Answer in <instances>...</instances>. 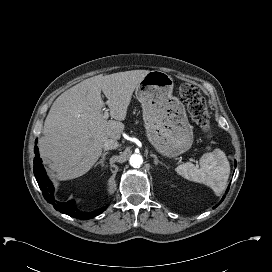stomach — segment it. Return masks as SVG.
Returning <instances> with one entry per match:
<instances>
[{
  "label": "stomach",
  "instance_id": "1",
  "mask_svg": "<svg viewBox=\"0 0 272 272\" xmlns=\"http://www.w3.org/2000/svg\"><path fill=\"white\" fill-rule=\"evenodd\" d=\"M173 86L170 75L153 70L135 90L142 105L147 137L154 148L167 157L188 151L194 138L184 105L172 95Z\"/></svg>",
  "mask_w": 272,
  "mask_h": 272
}]
</instances>
